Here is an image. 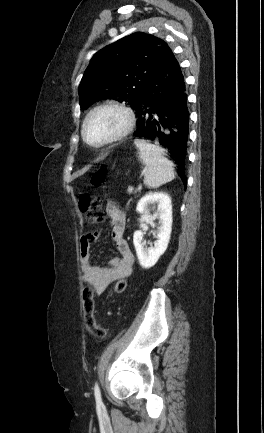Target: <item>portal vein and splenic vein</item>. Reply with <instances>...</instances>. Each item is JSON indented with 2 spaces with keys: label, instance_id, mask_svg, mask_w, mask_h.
I'll return each mask as SVG.
<instances>
[{
  "label": "portal vein and splenic vein",
  "instance_id": "portal-vein-and-splenic-vein-1",
  "mask_svg": "<svg viewBox=\"0 0 264 433\" xmlns=\"http://www.w3.org/2000/svg\"><path fill=\"white\" fill-rule=\"evenodd\" d=\"M133 190H134V188L133 187H128V193H132L133 192Z\"/></svg>",
  "mask_w": 264,
  "mask_h": 433
}]
</instances>
